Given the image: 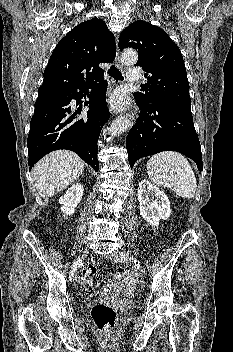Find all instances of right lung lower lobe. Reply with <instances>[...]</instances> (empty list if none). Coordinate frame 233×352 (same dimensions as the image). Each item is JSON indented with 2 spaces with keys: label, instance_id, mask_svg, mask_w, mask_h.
Returning a JSON list of instances; mask_svg holds the SVG:
<instances>
[{
  "label": "right lung lower lobe",
  "instance_id": "right-lung-lower-lobe-1",
  "mask_svg": "<svg viewBox=\"0 0 233 352\" xmlns=\"http://www.w3.org/2000/svg\"><path fill=\"white\" fill-rule=\"evenodd\" d=\"M88 89H92L89 93ZM107 82L102 77L78 85L66 96L39 98L35 102L34 115L28 135V164L32 167L46 154L59 149L76 152L82 160L97 172V141L110 113L106 103ZM90 110L81 112V99ZM78 107L74 109L72 100Z\"/></svg>",
  "mask_w": 233,
  "mask_h": 352
}]
</instances>
